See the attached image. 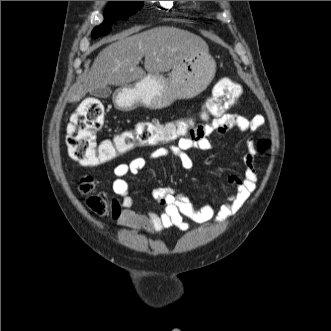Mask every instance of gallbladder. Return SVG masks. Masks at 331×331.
<instances>
[{
	"label": "gallbladder",
	"instance_id": "gallbladder-1",
	"mask_svg": "<svg viewBox=\"0 0 331 331\" xmlns=\"http://www.w3.org/2000/svg\"><path fill=\"white\" fill-rule=\"evenodd\" d=\"M91 96L95 98L105 99L112 94L110 87H100L91 91Z\"/></svg>",
	"mask_w": 331,
	"mask_h": 331
}]
</instances>
